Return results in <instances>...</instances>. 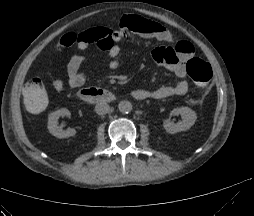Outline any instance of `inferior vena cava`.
<instances>
[{
	"instance_id": "obj_1",
	"label": "inferior vena cava",
	"mask_w": 254,
	"mask_h": 216,
	"mask_svg": "<svg viewBox=\"0 0 254 216\" xmlns=\"http://www.w3.org/2000/svg\"><path fill=\"white\" fill-rule=\"evenodd\" d=\"M109 110H110L109 104L104 101L98 102L95 106V111L99 115H104L108 113Z\"/></svg>"
}]
</instances>
